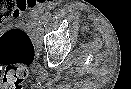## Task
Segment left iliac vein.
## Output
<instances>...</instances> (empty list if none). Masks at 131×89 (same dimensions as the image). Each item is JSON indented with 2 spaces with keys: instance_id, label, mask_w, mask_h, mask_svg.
Segmentation results:
<instances>
[{
  "instance_id": "obj_1",
  "label": "left iliac vein",
  "mask_w": 131,
  "mask_h": 89,
  "mask_svg": "<svg viewBox=\"0 0 131 89\" xmlns=\"http://www.w3.org/2000/svg\"><path fill=\"white\" fill-rule=\"evenodd\" d=\"M38 30H39L40 32H42L43 28L40 26V27L38 28Z\"/></svg>"
}]
</instances>
